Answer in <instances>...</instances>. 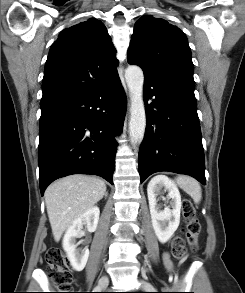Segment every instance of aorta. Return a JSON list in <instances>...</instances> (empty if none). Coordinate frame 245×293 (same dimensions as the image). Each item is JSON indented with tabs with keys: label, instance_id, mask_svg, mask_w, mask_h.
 Segmentation results:
<instances>
[{
	"label": "aorta",
	"instance_id": "1",
	"mask_svg": "<svg viewBox=\"0 0 245 293\" xmlns=\"http://www.w3.org/2000/svg\"><path fill=\"white\" fill-rule=\"evenodd\" d=\"M125 80L131 98L129 135L131 143L135 145L142 142L146 127L142 69L137 65L128 66L125 70Z\"/></svg>",
	"mask_w": 245,
	"mask_h": 293
}]
</instances>
